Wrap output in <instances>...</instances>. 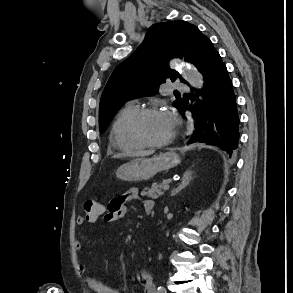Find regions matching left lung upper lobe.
<instances>
[{
  "instance_id": "left-lung-upper-lobe-1",
  "label": "left lung upper lobe",
  "mask_w": 293,
  "mask_h": 293,
  "mask_svg": "<svg viewBox=\"0 0 293 293\" xmlns=\"http://www.w3.org/2000/svg\"><path fill=\"white\" fill-rule=\"evenodd\" d=\"M208 38L194 25L182 20L157 23L150 27L143 44L110 76L100 100L99 128L103 133L116 112L130 98L154 95L168 78L187 83L168 67L172 57L184 58L197 69ZM181 98L173 102L178 108Z\"/></svg>"
}]
</instances>
